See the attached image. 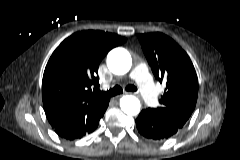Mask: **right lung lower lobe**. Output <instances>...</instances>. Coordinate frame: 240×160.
I'll return each instance as SVG.
<instances>
[{
	"label": "right lung lower lobe",
	"mask_w": 240,
	"mask_h": 160,
	"mask_svg": "<svg viewBox=\"0 0 240 160\" xmlns=\"http://www.w3.org/2000/svg\"><path fill=\"white\" fill-rule=\"evenodd\" d=\"M110 99L94 103L84 113L68 117L63 120L57 127L55 132L62 138L67 140H75L84 137L93 132L101 117H103Z\"/></svg>",
	"instance_id": "obj_1"
}]
</instances>
